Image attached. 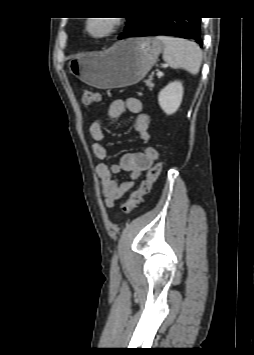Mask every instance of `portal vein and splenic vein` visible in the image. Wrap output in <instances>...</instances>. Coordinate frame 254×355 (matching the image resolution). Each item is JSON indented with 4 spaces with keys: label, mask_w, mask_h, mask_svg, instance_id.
<instances>
[{
    "label": "portal vein and splenic vein",
    "mask_w": 254,
    "mask_h": 355,
    "mask_svg": "<svg viewBox=\"0 0 254 355\" xmlns=\"http://www.w3.org/2000/svg\"><path fill=\"white\" fill-rule=\"evenodd\" d=\"M156 75H157L158 77H162V76L164 75V73L161 72V71H158V72L156 73Z\"/></svg>",
    "instance_id": "portal-vein-and-splenic-vein-1"
}]
</instances>
